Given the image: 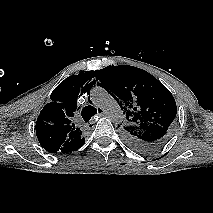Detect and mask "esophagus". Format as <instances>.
Instances as JSON below:
<instances>
[{
  "label": "esophagus",
  "instance_id": "esophagus-1",
  "mask_svg": "<svg viewBox=\"0 0 213 213\" xmlns=\"http://www.w3.org/2000/svg\"><path fill=\"white\" fill-rule=\"evenodd\" d=\"M99 113L92 119L89 123L90 126H92L100 117L104 116V111L102 109H98Z\"/></svg>",
  "mask_w": 213,
  "mask_h": 213
}]
</instances>
